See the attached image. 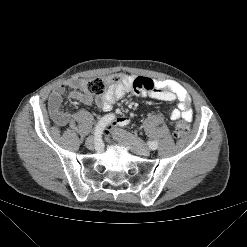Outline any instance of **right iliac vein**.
I'll list each match as a JSON object with an SVG mask.
<instances>
[{"mask_svg":"<svg viewBox=\"0 0 247 247\" xmlns=\"http://www.w3.org/2000/svg\"><path fill=\"white\" fill-rule=\"evenodd\" d=\"M86 147L89 149H93L94 148V139L93 137H88L86 139Z\"/></svg>","mask_w":247,"mask_h":247,"instance_id":"63e3f726","label":"right iliac vein"}]
</instances>
